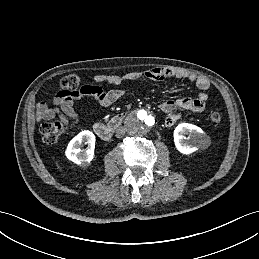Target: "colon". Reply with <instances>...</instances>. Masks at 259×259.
<instances>
[{
  "instance_id": "5ec220e1",
  "label": "colon",
  "mask_w": 259,
  "mask_h": 259,
  "mask_svg": "<svg viewBox=\"0 0 259 259\" xmlns=\"http://www.w3.org/2000/svg\"><path fill=\"white\" fill-rule=\"evenodd\" d=\"M80 84V77L75 74H69L60 81L59 93L67 96L78 90ZM222 118L218 112H212L209 116L211 125L217 126L220 124ZM42 139L47 144H54L61 137L64 128L60 122H45L40 128Z\"/></svg>"
}]
</instances>
